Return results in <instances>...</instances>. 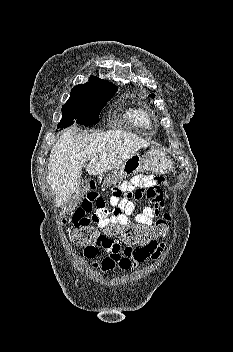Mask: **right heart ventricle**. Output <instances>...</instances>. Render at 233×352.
I'll list each match as a JSON object with an SVG mask.
<instances>
[{
    "instance_id": "obj_1",
    "label": "right heart ventricle",
    "mask_w": 233,
    "mask_h": 352,
    "mask_svg": "<svg viewBox=\"0 0 233 352\" xmlns=\"http://www.w3.org/2000/svg\"><path fill=\"white\" fill-rule=\"evenodd\" d=\"M128 119L137 126L148 127L150 125V118L148 113L141 109H132L127 113Z\"/></svg>"
}]
</instances>
